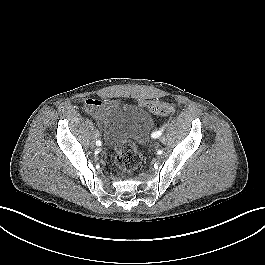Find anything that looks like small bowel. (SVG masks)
<instances>
[{"instance_id": "small-bowel-1", "label": "small bowel", "mask_w": 265, "mask_h": 265, "mask_svg": "<svg viewBox=\"0 0 265 265\" xmlns=\"http://www.w3.org/2000/svg\"><path fill=\"white\" fill-rule=\"evenodd\" d=\"M112 107V102L102 101L96 98H89L84 103V108L91 113L96 119H101L103 112Z\"/></svg>"}]
</instances>
